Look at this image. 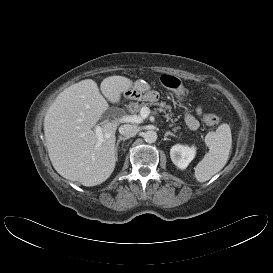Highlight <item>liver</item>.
Segmentation results:
<instances>
[{
	"mask_svg": "<svg viewBox=\"0 0 273 273\" xmlns=\"http://www.w3.org/2000/svg\"><path fill=\"white\" fill-rule=\"evenodd\" d=\"M133 85L124 76H109L100 85L85 79L61 92L44 119L48 153L54 169L70 181L95 186L106 181L115 168V132L111 122L92 128L108 109V101L119 103L121 94ZM106 99H105V98Z\"/></svg>",
	"mask_w": 273,
	"mask_h": 273,
	"instance_id": "1",
	"label": "liver"
}]
</instances>
